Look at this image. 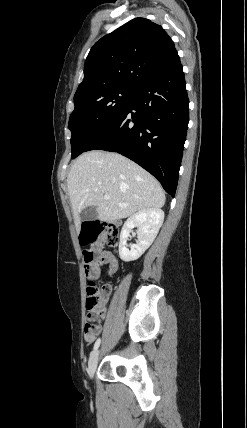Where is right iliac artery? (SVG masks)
<instances>
[{"mask_svg":"<svg viewBox=\"0 0 247 428\" xmlns=\"http://www.w3.org/2000/svg\"><path fill=\"white\" fill-rule=\"evenodd\" d=\"M100 342H101V339H100V338H98V339L96 340L95 344H94V348H93V350H94V351H96V350L98 349V347H99V345H100Z\"/></svg>","mask_w":247,"mask_h":428,"instance_id":"82829eb1","label":"right iliac artery"}]
</instances>
